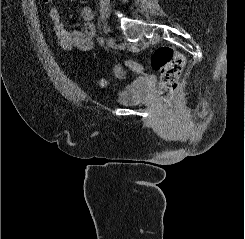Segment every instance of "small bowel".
<instances>
[{"instance_id":"obj_1","label":"small bowel","mask_w":245,"mask_h":239,"mask_svg":"<svg viewBox=\"0 0 245 239\" xmlns=\"http://www.w3.org/2000/svg\"><path fill=\"white\" fill-rule=\"evenodd\" d=\"M80 15L85 22L82 30L69 31L66 29L65 21L61 17L58 7L53 6L49 11L57 44L66 51H90L93 49L96 29L92 23L94 17L92 7L89 5L82 6Z\"/></svg>"}]
</instances>
